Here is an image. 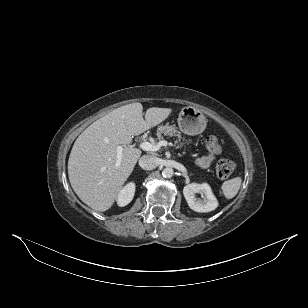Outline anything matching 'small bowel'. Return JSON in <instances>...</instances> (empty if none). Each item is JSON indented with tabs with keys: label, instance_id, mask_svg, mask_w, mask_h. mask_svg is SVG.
<instances>
[{
	"label": "small bowel",
	"instance_id": "small-bowel-1",
	"mask_svg": "<svg viewBox=\"0 0 308 308\" xmlns=\"http://www.w3.org/2000/svg\"><path fill=\"white\" fill-rule=\"evenodd\" d=\"M214 159L215 158L212 155H205L196 160V165L200 168H207L211 165Z\"/></svg>",
	"mask_w": 308,
	"mask_h": 308
}]
</instances>
